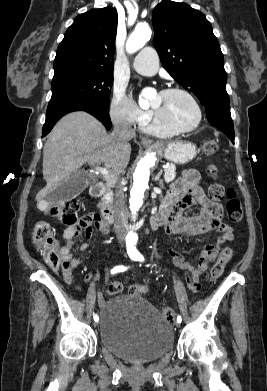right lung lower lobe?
<instances>
[{"label": "right lung lower lobe", "instance_id": "98d812e1", "mask_svg": "<svg viewBox=\"0 0 267 391\" xmlns=\"http://www.w3.org/2000/svg\"><path fill=\"white\" fill-rule=\"evenodd\" d=\"M73 111H86L101 121L108 130L111 128L109 109L81 101H66L47 109L46 121L42 131L43 136L51 131L62 116Z\"/></svg>", "mask_w": 267, "mask_h": 391}]
</instances>
